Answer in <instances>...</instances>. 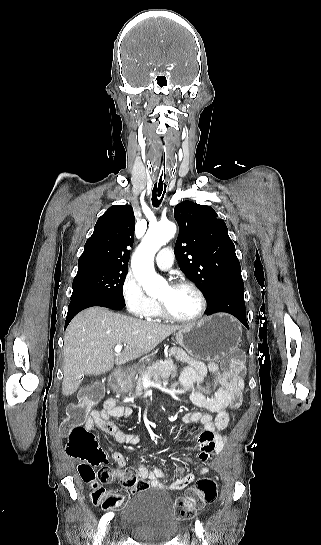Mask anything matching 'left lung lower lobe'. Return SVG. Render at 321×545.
Listing matches in <instances>:
<instances>
[{"instance_id": "1", "label": "left lung lower lobe", "mask_w": 321, "mask_h": 545, "mask_svg": "<svg viewBox=\"0 0 321 545\" xmlns=\"http://www.w3.org/2000/svg\"><path fill=\"white\" fill-rule=\"evenodd\" d=\"M209 309L207 315L226 312L238 318L248 329L244 302V283L241 278L226 281L215 288L211 297L207 298Z\"/></svg>"}]
</instances>
